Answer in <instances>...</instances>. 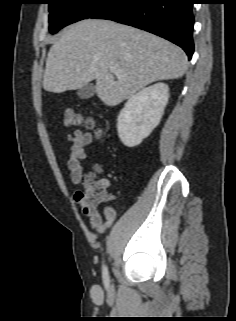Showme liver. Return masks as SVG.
<instances>
[{
    "instance_id": "liver-1",
    "label": "liver",
    "mask_w": 236,
    "mask_h": 321,
    "mask_svg": "<svg viewBox=\"0 0 236 321\" xmlns=\"http://www.w3.org/2000/svg\"><path fill=\"white\" fill-rule=\"evenodd\" d=\"M187 65L183 50L166 39L110 20L85 19L66 27L53 43L43 88L63 93L95 79L97 96L115 106L152 82L182 77ZM110 67L120 74L114 76Z\"/></svg>"
}]
</instances>
